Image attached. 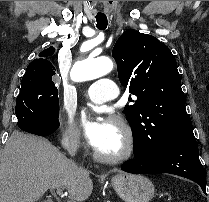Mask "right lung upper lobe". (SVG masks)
<instances>
[{
	"label": "right lung upper lobe",
	"mask_w": 209,
	"mask_h": 202,
	"mask_svg": "<svg viewBox=\"0 0 209 202\" xmlns=\"http://www.w3.org/2000/svg\"><path fill=\"white\" fill-rule=\"evenodd\" d=\"M54 53V49L52 47L42 51L39 54V58L33 60L26 69V72L23 77L33 75V74H47L54 75L55 67L53 64L46 58Z\"/></svg>",
	"instance_id": "1"
}]
</instances>
